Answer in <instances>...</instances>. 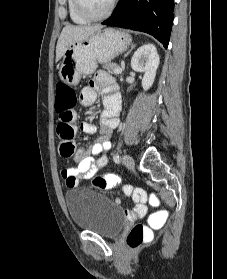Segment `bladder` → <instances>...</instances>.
<instances>
[{"label":"bladder","mask_w":227,"mask_h":279,"mask_svg":"<svg viewBox=\"0 0 227 279\" xmlns=\"http://www.w3.org/2000/svg\"><path fill=\"white\" fill-rule=\"evenodd\" d=\"M65 202L73 224L78 229L113 237L124 226L121 207L98 192L87 189L66 192Z\"/></svg>","instance_id":"1"}]
</instances>
